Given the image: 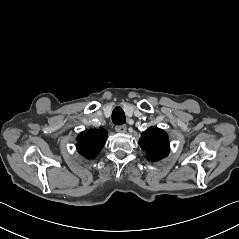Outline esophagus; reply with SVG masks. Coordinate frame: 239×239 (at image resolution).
<instances>
[{
	"mask_svg": "<svg viewBox=\"0 0 239 239\" xmlns=\"http://www.w3.org/2000/svg\"><path fill=\"white\" fill-rule=\"evenodd\" d=\"M115 130H116L117 132L124 133V132H126V126H125L124 124H122V125H117V126L115 127Z\"/></svg>",
	"mask_w": 239,
	"mask_h": 239,
	"instance_id": "esophagus-1",
	"label": "esophagus"
}]
</instances>
